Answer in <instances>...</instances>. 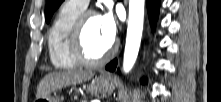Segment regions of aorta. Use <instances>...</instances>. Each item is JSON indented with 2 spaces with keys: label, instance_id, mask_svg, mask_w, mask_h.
Listing matches in <instances>:
<instances>
[{
  "label": "aorta",
  "instance_id": "1",
  "mask_svg": "<svg viewBox=\"0 0 221 102\" xmlns=\"http://www.w3.org/2000/svg\"><path fill=\"white\" fill-rule=\"evenodd\" d=\"M145 0H129V19L123 58V70L129 73L133 68L141 43Z\"/></svg>",
  "mask_w": 221,
  "mask_h": 102
}]
</instances>
